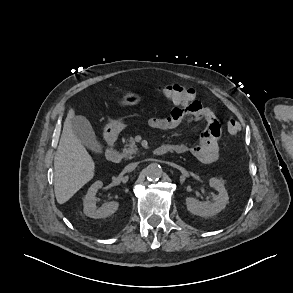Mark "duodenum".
Masks as SVG:
<instances>
[{
	"mask_svg": "<svg viewBox=\"0 0 293 293\" xmlns=\"http://www.w3.org/2000/svg\"><path fill=\"white\" fill-rule=\"evenodd\" d=\"M107 144H108V151H107V159L111 163H119L122 159L121 154L116 150L115 145H116V140L113 136H107ZM175 147L172 145H162L159 147H156L153 150V153L155 155H163L168 152H174Z\"/></svg>",
	"mask_w": 293,
	"mask_h": 293,
	"instance_id": "1",
	"label": "duodenum"
}]
</instances>
